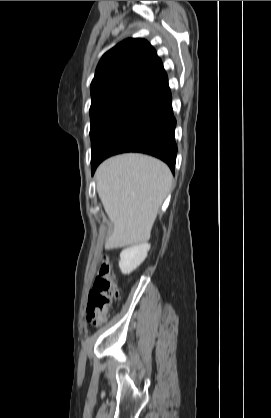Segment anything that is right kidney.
<instances>
[{
	"instance_id": "obj_1",
	"label": "right kidney",
	"mask_w": 271,
	"mask_h": 418,
	"mask_svg": "<svg viewBox=\"0 0 271 418\" xmlns=\"http://www.w3.org/2000/svg\"><path fill=\"white\" fill-rule=\"evenodd\" d=\"M150 244L143 243L124 249L120 254L119 267L123 274H130L147 257Z\"/></svg>"
}]
</instances>
